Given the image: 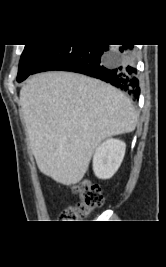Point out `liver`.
Listing matches in <instances>:
<instances>
[{
	"label": "liver",
	"mask_w": 166,
	"mask_h": 267,
	"mask_svg": "<svg viewBox=\"0 0 166 267\" xmlns=\"http://www.w3.org/2000/svg\"><path fill=\"white\" fill-rule=\"evenodd\" d=\"M20 104L39 170L67 186L82 180L104 139L130 133L137 124L124 93L75 73L33 76L20 90Z\"/></svg>",
	"instance_id": "liver-1"
}]
</instances>
